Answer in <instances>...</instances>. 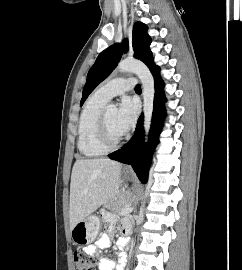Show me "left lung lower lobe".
I'll return each instance as SVG.
<instances>
[{"label":"left lung lower lobe","mask_w":242,"mask_h":270,"mask_svg":"<svg viewBox=\"0 0 242 270\" xmlns=\"http://www.w3.org/2000/svg\"><path fill=\"white\" fill-rule=\"evenodd\" d=\"M159 71L160 69L157 66L151 69L155 79V96L149 142L147 144L144 143L143 115H141L138 120L135 134L128 144L124 148L108 155V157L113 160L131 164L137 176L143 183H146L147 181L148 169L151 162L150 153L158 143V135L163 126L162 119L165 116L164 84L159 76Z\"/></svg>","instance_id":"obj_1"}]
</instances>
